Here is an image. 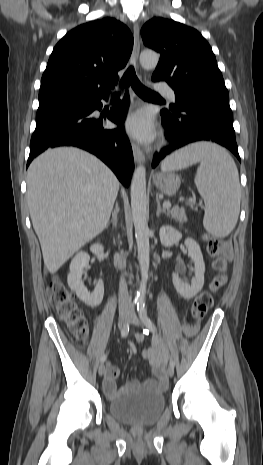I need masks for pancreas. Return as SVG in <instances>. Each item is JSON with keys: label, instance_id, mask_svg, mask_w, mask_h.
Returning a JSON list of instances; mask_svg holds the SVG:
<instances>
[{"label": "pancreas", "instance_id": "cf45deb5", "mask_svg": "<svg viewBox=\"0 0 263 465\" xmlns=\"http://www.w3.org/2000/svg\"><path fill=\"white\" fill-rule=\"evenodd\" d=\"M168 213L171 214V216L180 224L187 221L184 208H173L169 210Z\"/></svg>", "mask_w": 263, "mask_h": 465}]
</instances>
